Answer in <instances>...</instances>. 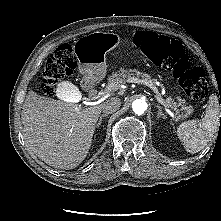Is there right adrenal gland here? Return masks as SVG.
Returning <instances> with one entry per match:
<instances>
[{
  "label": "right adrenal gland",
  "instance_id": "2a0ac1e0",
  "mask_svg": "<svg viewBox=\"0 0 221 221\" xmlns=\"http://www.w3.org/2000/svg\"><path fill=\"white\" fill-rule=\"evenodd\" d=\"M108 114H102L100 117H99V121L98 123L96 124V127H99L101 124H102V120L104 117H107Z\"/></svg>",
  "mask_w": 221,
  "mask_h": 221
}]
</instances>
